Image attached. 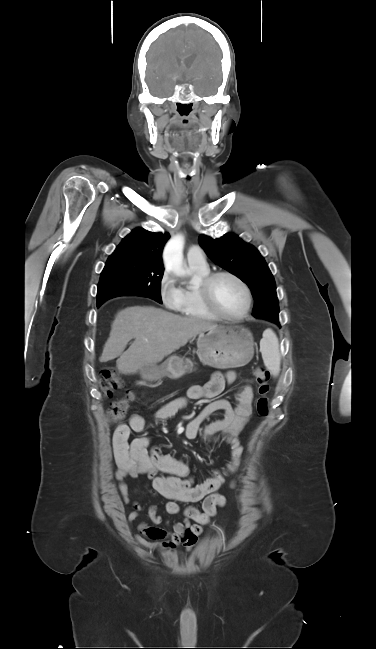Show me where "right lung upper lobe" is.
<instances>
[{
  "mask_svg": "<svg viewBox=\"0 0 376 649\" xmlns=\"http://www.w3.org/2000/svg\"><path fill=\"white\" fill-rule=\"evenodd\" d=\"M169 237L168 233H153L136 228L122 240L111 256L143 259L150 263L151 269L160 270L163 269L162 250Z\"/></svg>",
  "mask_w": 376,
  "mask_h": 649,
  "instance_id": "right-lung-upper-lobe-1",
  "label": "right lung upper lobe"
}]
</instances>
